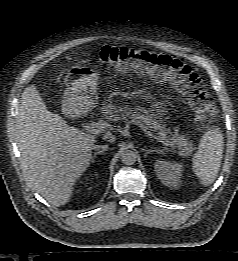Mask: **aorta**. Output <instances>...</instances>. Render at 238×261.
I'll return each instance as SVG.
<instances>
[{
  "label": "aorta",
  "mask_w": 238,
  "mask_h": 261,
  "mask_svg": "<svg viewBox=\"0 0 238 261\" xmlns=\"http://www.w3.org/2000/svg\"><path fill=\"white\" fill-rule=\"evenodd\" d=\"M136 153L132 150H123L121 152V160L125 165H133L136 162Z\"/></svg>",
  "instance_id": "obj_1"
}]
</instances>
